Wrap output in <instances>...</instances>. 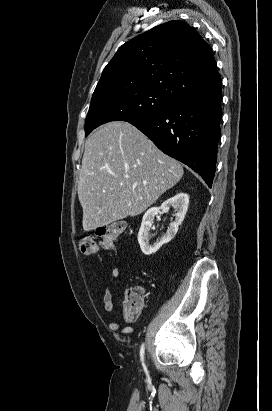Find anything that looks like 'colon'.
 Instances as JSON below:
<instances>
[{
	"label": "colon",
	"mask_w": 272,
	"mask_h": 411,
	"mask_svg": "<svg viewBox=\"0 0 272 411\" xmlns=\"http://www.w3.org/2000/svg\"><path fill=\"white\" fill-rule=\"evenodd\" d=\"M124 221H116L101 226L97 235L99 241L91 236L83 237L80 241V250L84 255H96L100 246L105 249H112L115 240L125 230ZM143 305V293L138 287L129 288L125 292L124 317L128 322L137 320Z\"/></svg>",
	"instance_id": "5ec220e1"
}]
</instances>
